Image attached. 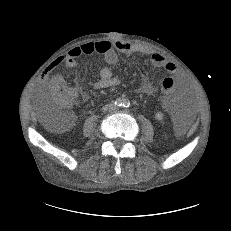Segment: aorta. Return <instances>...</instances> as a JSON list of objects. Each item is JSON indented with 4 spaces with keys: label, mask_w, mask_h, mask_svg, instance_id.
<instances>
[{
    "label": "aorta",
    "mask_w": 231,
    "mask_h": 231,
    "mask_svg": "<svg viewBox=\"0 0 231 231\" xmlns=\"http://www.w3.org/2000/svg\"><path fill=\"white\" fill-rule=\"evenodd\" d=\"M124 104H127V102H123V105H124Z\"/></svg>",
    "instance_id": "762f6f07"
}]
</instances>
